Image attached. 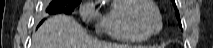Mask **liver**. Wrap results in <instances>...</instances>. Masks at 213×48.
<instances>
[{
    "label": "liver",
    "mask_w": 213,
    "mask_h": 48,
    "mask_svg": "<svg viewBox=\"0 0 213 48\" xmlns=\"http://www.w3.org/2000/svg\"><path fill=\"white\" fill-rule=\"evenodd\" d=\"M32 48H132L103 43L90 37L81 25L67 15L47 19L32 35ZM136 48V47H135Z\"/></svg>",
    "instance_id": "liver-1"
}]
</instances>
